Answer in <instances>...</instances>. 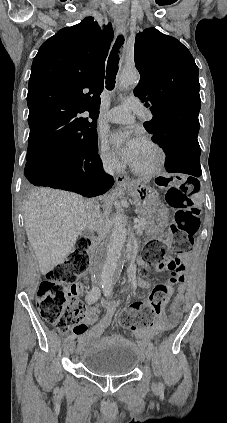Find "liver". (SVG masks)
<instances>
[{
	"label": "liver",
	"mask_w": 227,
	"mask_h": 423,
	"mask_svg": "<svg viewBox=\"0 0 227 423\" xmlns=\"http://www.w3.org/2000/svg\"><path fill=\"white\" fill-rule=\"evenodd\" d=\"M113 196L109 194L105 200L112 202ZM87 202L91 200L85 202L78 194L51 188H34L25 198V231L43 275L69 255L78 235L88 227ZM91 204L97 206L95 202ZM98 223H102L104 231L106 223L102 217Z\"/></svg>",
	"instance_id": "liver-1"
}]
</instances>
